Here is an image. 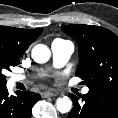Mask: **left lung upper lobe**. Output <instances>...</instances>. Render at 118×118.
I'll return each instance as SVG.
<instances>
[{"mask_svg":"<svg viewBox=\"0 0 118 118\" xmlns=\"http://www.w3.org/2000/svg\"><path fill=\"white\" fill-rule=\"evenodd\" d=\"M62 30L78 44L76 76L84 80L89 90L118 94V37L92 25H67Z\"/></svg>","mask_w":118,"mask_h":118,"instance_id":"5c2ea615","label":"left lung upper lobe"}]
</instances>
